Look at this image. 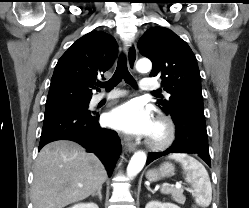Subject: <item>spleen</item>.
I'll return each mask as SVG.
<instances>
[{"label":"spleen","mask_w":249,"mask_h":208,"mask_svg":"<svg viewBox=\"0 0 249 208\" xmlns=\"http://www.w3.org/2000/svg\"><path fill=\"white\" fill-rule=\"evenodd\" d=\"M168 158L181 163L186 173L185 179L194 189L195 202L202 207H208L212 200V187L205 167L198 160L185 153H174ZM170 190L168 186L161 188L162 193H168Z\"/></svg>","instance_id":"3e777b00"}]
</instances>
